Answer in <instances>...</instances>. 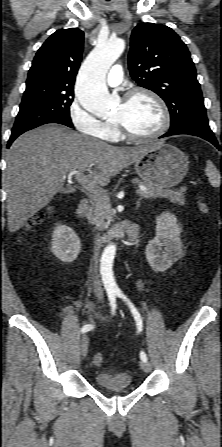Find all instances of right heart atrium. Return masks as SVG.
<instances>
[{"instance_id": "right-heart-atrium-1", "label": "right heart atrium", "mask_w": 222, "mask_h": 447, "mask_svg": "<svg viewBox=\"0 0 222 447\" xmlns=\"http://www.w3.org/2000/svg\"><path fill=\"white\" fill-rule=\"evenodd\" d=\"M82 99L78 98L69 109L70 120L75 129L83 134L98 136L103 129V123L88 113L82 107Z\"/></svg>"}]
</instances>
